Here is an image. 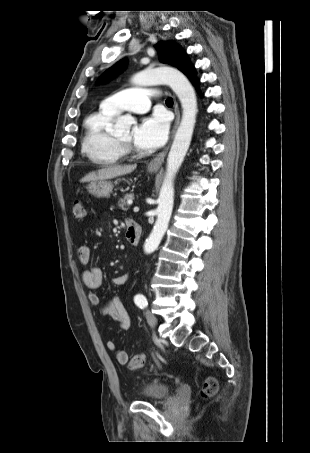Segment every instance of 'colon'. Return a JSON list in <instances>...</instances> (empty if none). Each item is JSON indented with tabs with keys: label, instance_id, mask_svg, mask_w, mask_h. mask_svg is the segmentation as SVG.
Instances as JSON below:
<instances>
[{
	"label": "colon",
	"instance_id": "5ec220e1",
	"mask_svg": "<svg viewBox=\"0 0 310 453\" xmlns=\"http://www.w3.org/2000/svg\"><path fill=\"white\" fill-rule=\"evenodd\" d=\"M73 217L75 219H82L85 216V207L81 201H75L72 207ZM145 364V356L142 353L135 354L129 364L128 367L131 370L139 369L143 367ZM218 390V382L213 377H207L202 386L200 393L204 398H210L216 394Z\"/></svg>",
	"mask_w": 310,
	"mask_h": 453
}]
</instances>
